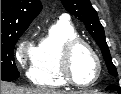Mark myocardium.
Returning a JSON list of instances; mask_svg holds the SVG:
<instances>
[{"label":"myocardium","instance_id":"f54148a6","mask_svg":"<svg viewBox=\"0 0 121 94\" xmlns=\"http://www.w3.org/2000/svg\"><path fill=\"white\" fill-rule=\"evenodd\" d=\"M79 45L85 46L91 52L97 64L96 77L88 83L78 82L75 79L71 70L72 54L75 48ZM102 68H103L102 61H101L99 54L97 53L95 48L83 38H80L77 36V37L70 38L63 43L61 50H60L59 70H60V74L62 78L67 82V84L77 86V87L91 86L94 83H96L98 79L100 78L101 73H102Z\"/></svg>","mask_w":121,"mask_h":94}]
</instances>
